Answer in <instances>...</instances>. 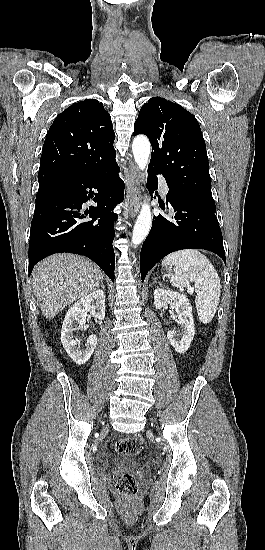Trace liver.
I'll return each instance as SVG.
<instances>
[{
    "label": "liver",
    "instance_id": "1",
    "mask_svg": "<svg viewBox=\"0 0 265 550\" xmlns=\"http://www.w3.org/2000/svg\"><path fill=\"white\" fill-rule=\"evenodd\" d=\"M33 291L46 319L83 298L102 283L101 269L89 259L74 254H55L33 271Z\"/></svg>",
    "mask_w": 265,
    "mask_h": 550
}]
</instances>
